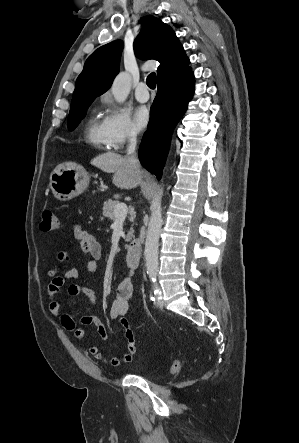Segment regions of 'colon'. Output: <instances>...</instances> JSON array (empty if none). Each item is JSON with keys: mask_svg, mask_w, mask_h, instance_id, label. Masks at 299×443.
I'll return each instance as SVG.
<instances>
[{"mask_svg": "<svg viewBox=\"0 0 299 443\" xmlns=\"http://www.w3.org/2000/svg\"><path fill=\"white\" fill-rule=\"evenodd\" d=\"M40 228L42 231H52L58 228V218L53 211L45 210L43 212ZM129 335L136 342V336L131 327L129 328ZM179 368H180V362L178 360H175L172 363L170 370L172 373H175L179 370Z\"/></svg>", "mask_w": 299, "mask_h": 443, "instance_id": "1", "label": "colon"}]
</instances>
